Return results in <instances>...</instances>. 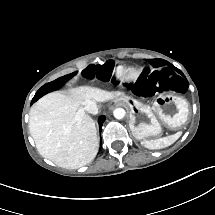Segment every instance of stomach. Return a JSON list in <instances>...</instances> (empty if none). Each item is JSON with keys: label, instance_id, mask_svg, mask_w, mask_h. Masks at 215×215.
Here are the masks:
<instances>
[{"label": "stomach", "instance_id": "obj_1", "mask_svg": "<svg viewBox=\"0 0 215 215\" xmlns=\"http://www.w3.org/2000/svg\"><path fill=\"white\" fill-rule=\"evenodd\" d=\"M117 101L129 109V127L138 140L157 138L164 130L180 135L188 121V103L181 96L160 95L152 106L126 95L120 96Z\"/></svg>", "mask_w": 215, "mask_h": 215}]
</instances>
